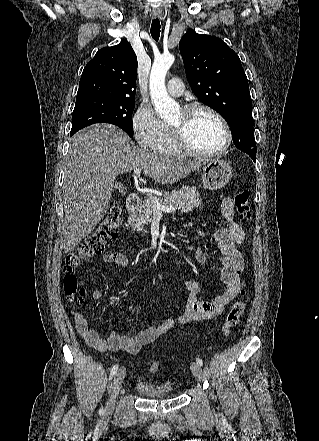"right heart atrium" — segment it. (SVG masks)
<instances>
[{
	"instance_id": "obj_1",
	"label": "right heart atrium",
	"mask_w": 319,
	"mask_h": 441,
	"mask_svg": "<svg viewBox=\"0 0 319 441\" xmlns=\"http://www.w3.org/2000/svg\"><path fill=\"white\" fill-rule=\"evenodd\" d=\"M132 132L138 146L145 151H156L164 138V124L157 118L152 107L142 103L135 111Z\"/></svg>"
}]
</instances>
